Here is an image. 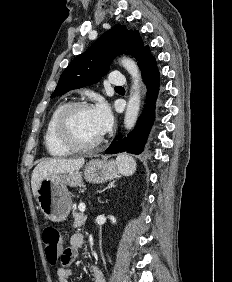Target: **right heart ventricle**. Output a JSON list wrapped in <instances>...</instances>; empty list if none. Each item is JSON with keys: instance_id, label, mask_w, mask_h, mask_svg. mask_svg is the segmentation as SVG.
<instances>
[{"instance_id": "right-heart-ventricle-1", "label": "right heart ventricle", "mask_w": 232, "mask_h": 282, "mask_svg": "<svg viewBox=\"0 0 232 282\" xmlns=\"http://www.w3.org/2000/svg\"><path fill=\"white\" fill-rule=\"evenodd\" d=\"M66 104L61 103L53 110L47 122L44 134V144L49 155L53 157H65L70 155L73 151L63 146L56 138L55 123L56 119Z\"/></svg>"}]
</instances>
